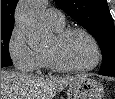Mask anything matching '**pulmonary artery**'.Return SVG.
<instances>
[{
  "instance_id": "obj_1",
  "label": "pulmonary artery",
  "mask_w": 115,
  "mask_h": 99,
  "mask_svg": "<svg viewBox=\"0 0 115 99\" xmlns=\"http://www.w3.org/2000/svg\"><path fill=\"white\" fill-rule=\"evenodd\" d=\"M47 25L53 28H61L65 24V18L61 11L56 9H47L44 15Z\"/></svg>"
}]
</instances>
